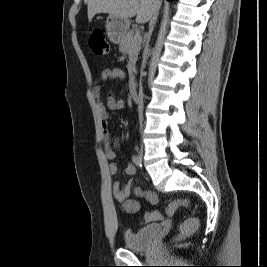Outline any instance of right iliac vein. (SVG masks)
<instances>
[{
  "instance_id": "1",
  "label": "right iliac vein",
  "mask_w": 267,
  "mask_h": 267,
  "mask_svg": "<svg viewBox=\"0 0 267 267\" xmlns=\"http://www.w3.org/2000/svg\"><path fill=\"white\" fill-rule=\"evenodd\" d=\"M138 153H139V158L142 159V156H143L142 150H140Z\"/></svg>"
}]
</instances>
